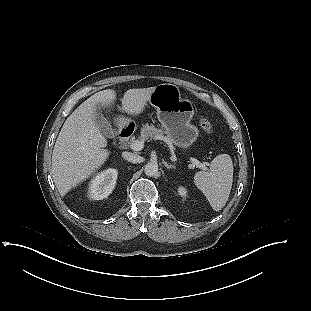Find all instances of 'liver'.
<instances>
[{
	"label": "liver",
	"mask_w": 311,
	"mask_h": 311,
	"mask_svg": "<svg viewBox=\"0 0 311 311\" xmlns=\"http://www.w3.org/2000/svg\"><path fill=\"white\" fill-rule=\"evenodd\" d=\"M156 87L129 89L122 99L123 112L138 115ZM116 99L112 89L95 93L66 119L55 142L51 173L63 196L99 169L110 155L107 140L96 123L97 106L109 107Z\"/></svg>",
	"instance_id": "6515ba94"
}]
</instances>
